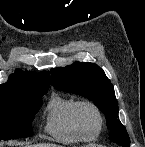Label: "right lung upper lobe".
Listing matches in <instances>:
<instances>
[{"instance_id":"obj_1","label":"right lung upper lobe","mask_w":145,"mask_h":147,"mask_svg":"<svg viewBox=\"0 0 145 147\" xmlns=\"http://www.w3.org/2000/svg\"><path fill=\"white\" fill-rule=\"evenodd\" d=\"M50 82L49 71L33 73L31 71L17 70L15 74L10 76L7 83L0 85V94L25 89L49 88Z\"/></svg>"}]
</instances>
